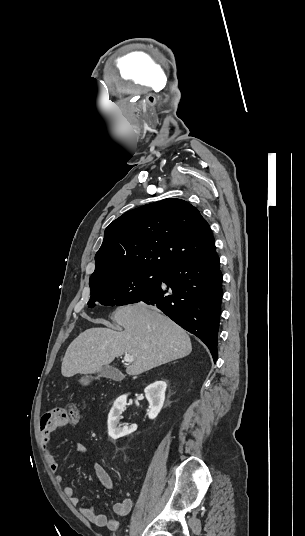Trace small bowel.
Segmentation results:
<instances>
[{
  "label": "small bowel",
  "mask_w": 305,
  "mask_h": 536,
  "mask_svg": "<svg viewBox=\"0 0 305 536\" xmlns=\"http://www.w3.org/2000/svg\"><path fill=\"white\" fill-rule=\"evenodd\" d=\"M65 411L63 408L58 407L55 411H44L42 418L38 420L37 425L39 427L38 434L40 435V444L45 458L48 463L49 469L54 473L55 481L58 484L63 483L64 477L58 472L59 464L55 455L51 451V433L49 432L50 426L58 427L67 425L68 419L64 417ZM76 450L82 456L87 455V449L82 443L76 445ZM93 470L106 490H112L114 487L113 480L108 472L99 464L93 463ZM64 495L69 499L72 505L79 508L81 514L87 518L90 522L98 527H105L109 530L115 531L119 527V521L116 518H108L106 515L97 512L92 506L82 507L80 506V498L75 495L72 486H65ZM132 509V500L130 498H124L117 502L113 506L114 513L118 516H126Z\"/></svg>",
  "instance_id": "1"
}]
</instances>
